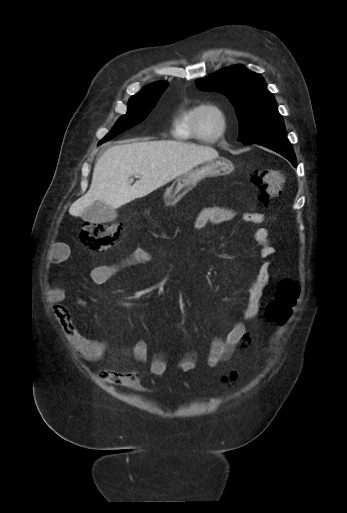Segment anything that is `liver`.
I'll return each mask as SVG.
<instances>
[{
	"label": "liver",
	"mask_w": 347,
	"mask_h": 513,
	"mask_svg": "<svg viewBox=\"0 0 347 513\" xmlns=\"http://www.w3.org/2000/svg\"><path fill=\"white\" fill-rule=\"evenodd\" d=\"M217 157L211 147L172 140L111 146L97 160L88 192L72 203L69 213L81 216L96 201L119 208ZM133 175L139 180L131 185Z\"/></svg>",
	"instance_id": "liver-1"
}]
</instances>
